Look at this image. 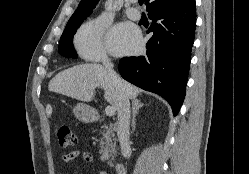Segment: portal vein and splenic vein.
I'll list each match as a JSON object with an SVG mask.
<instances>
[{"label": "portal vein and splenic vein", "instance_id": "obj_1", "mask_svg": "<svg viewBox=\"0 0 249 174\" xmlns=\"http://www.w3.org/2000/svg\"><path fill=\"white\" fill-rule=\"evenodd\" d=\"M105 113L107 116L111 117L115 114V109L112 106H107L105 108Z\"/></svg>", "mask_w": 249, "mask_h": 174}]
</instances>
